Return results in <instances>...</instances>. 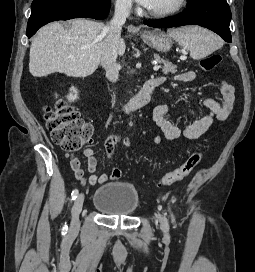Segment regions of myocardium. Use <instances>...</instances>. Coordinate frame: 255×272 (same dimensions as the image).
<instances>
[{"label":"myocardium","instance_id":"f54148a6","mask_svg":"<svg viewBox=\"0 0 255 272\" xmlns=\"http://www.w3.org/2000/svg\"><path fill=\"white\" fill-rule=\"evenodd\" d=\"M186 3L187 0H178L173 6L164 10L151 11L148 9L147 14L152 17H168L181 11L185 7Z\"/></svg>","mask_w":255,"mask_h":272}]
</instances>
